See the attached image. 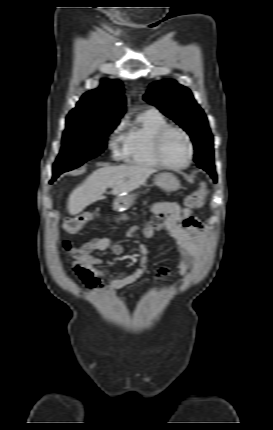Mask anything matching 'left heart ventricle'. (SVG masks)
<instances>
[{
  "instance_id": "obj_1",
  "label": "left heart ventricle",
  "mask_w": 273,
  "mask_h": 430,
  "mask_svg": "<svg viewBox=\"0 0 273 430\" xmlns=\"http://www.w3.org/2000/svg\"><path fill=\"white\" fill-rule=\"evenodd\" d=\"M162 155L170 164H184L188 158V146L184 136L177 131L169 132L162 144Z\"/></svg>"
}]
</instances>
